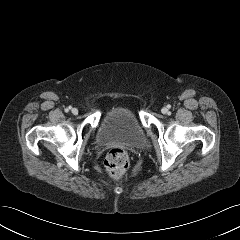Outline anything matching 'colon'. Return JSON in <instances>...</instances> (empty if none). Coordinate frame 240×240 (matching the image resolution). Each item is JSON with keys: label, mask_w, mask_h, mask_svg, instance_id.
I'll return each instance as SVG.
<instances>
[{"label": "colon", "mask_w": 240, "mask_h": 240, "mask_svg": "<svg viewBox=\"0 0 240 240\" xmlns=\"http://www.w3.org/2000/svg\"><path fill=\"white\" fill-rule=\"evenodd\" d=\"M128 168L129 157L125 150L113 148L108 151L104 160V170L111 178L122 177Z\"/></svg>", "instance_id": "colon-1"}]
</instances>
